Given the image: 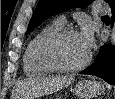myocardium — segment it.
<instances>
[{
  "label": "myocardium",
  "mask_w": 115,
  "mask_h": 99,
  "mask_svg": "<svg viewBox=\"0 0 115 99\" xmlns=\"http://www.w3.org/2000/svg\"><path fill=\"white\" fill-rule=\"evenodd\" d=\"M73 35H80L78 31L74 29H60L51 35H49L42 43L40 47V56L43 62L52 70L56 72H76L84 69L91 60V52L88 50L86 58L78 65L65 66L60 64L54 55L55 46L64 38Z\"/></svg>",
  "instance_id": "obj_1"
}]
</instances>
